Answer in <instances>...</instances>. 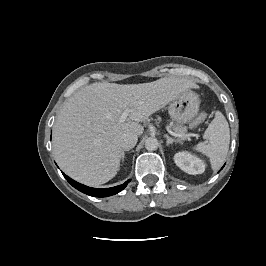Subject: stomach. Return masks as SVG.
<instances>
[{
    "mask_svg": "<svg viewBox=\"0 0 266 266\" xmlns=\"http://www.w3.org/2000/svg\"><path fill=\"white\" fill-rule=\"evenodd\" d=\"M199 106V96L195 92L187 90L169 104L168 112L171 119L180 125L197 116Z\"/></svg>",
    "mask_w": 266,
    "mask_h": 266,
    "instance_id": "stomach-1",
    "label": "stomach"
}]
</instances>
